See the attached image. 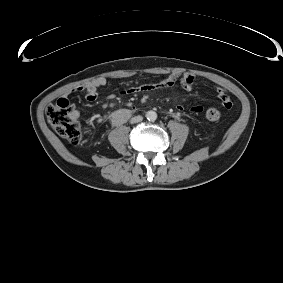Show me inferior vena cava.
<instances>
[{"label": "inferior vena cava", "instance_id": "inferior-vena-cava-1", "mask_svg": "<svg viewBox=\"0 0 283 283\" xmlns=\"http://www.w3.org/2000/svg\"><path fill=\"white\" fill-rule=\"evenodd\" d=\"M142 120H143V117L138 115V116L132 117L130 122L131 123H138V122H141Z\"/></svg>", "mask_w": 283, "mask_h": 283}]
</instances>
